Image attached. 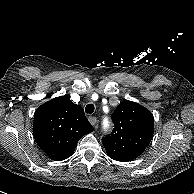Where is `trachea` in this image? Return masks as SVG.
<instances>
[{"instance_id":"1","label":"trachea","mask_w":194,"mask_h":194,"mask_svg":"<svg viewBox=\"0 0 194 194\" xmlns=\"http://www.w3.org/2000/svg\"><path fill=\"white\" fill-rule=\"evenodd\" d=\"M94 109H95V107H94L93 104H88V105L86 106V108H85V112H86L87 114H92V113L94 112Z\"/></svg>"}]
</instances>
